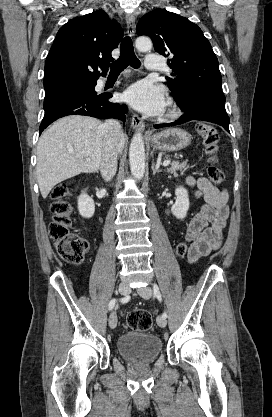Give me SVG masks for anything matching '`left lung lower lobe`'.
<instances>
[{"instance_id":"0a47b994","label":"left lung lower lobe","mask_w":272,"mask_h":417,"mask_svg":"<svg viewBox=\"0 0 272 417\" xmlns=\"http://www.w3.org/2000/svg\"><path fill=\"white\" fill-rule=\"evenodd\" d=\"M184 114L181 118L175 122L169 124H158L154 125L155 128H162L168 126L179 125L184 122L191 120H202L212 123H216L222 126L226 131L229 132V122L230 119L226 112L218 111L216 109L210 108L208 106H202L194 102H188L187 105L179 106Z\"/></svg>"}]
</instances>
